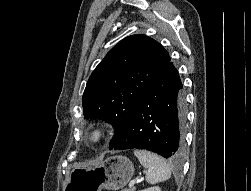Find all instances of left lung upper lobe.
<instances>
[{
    "instance_id": "obj_1",
    "label": "left lung upper lobe",
    "mask_w": 251,
    "mask_h": 191,
    "mask_svg": "<svg viewBox=\"0 0 251 191\" xmlns=\"http://www.w3.org/2000/svg\"><path fill=\"white\" fill-rule=\"evenodd\" d=\"M170 60L160 43L132 35L114 46L93 71L82 98L84 118L103 119L114 126L110 149Z\"/></svg>"
}]
</instances>
